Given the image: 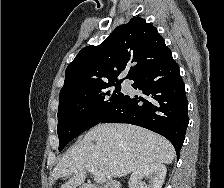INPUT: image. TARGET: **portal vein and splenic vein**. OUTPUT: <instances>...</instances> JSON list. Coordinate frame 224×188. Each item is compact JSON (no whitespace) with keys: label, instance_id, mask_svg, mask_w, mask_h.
<instances>
[{"label":"portal vein and splenic vein","instance_id":"18ae733b","mask_svg":"<svg viewBox=\"0 0 224 188\" xmlns=\"http://www.w3.org/2000/svg\"><path fill=\"white\" fill-rule=\"evenodd\" d=\"M88 171L94 175V179L97 183H99V184L105 183V181H106L105 175L101 171H99L97 168L89 167Z\"/></svg>","mask_w":224,"mask_h":188}]
</instances>
